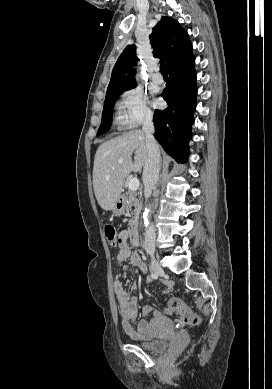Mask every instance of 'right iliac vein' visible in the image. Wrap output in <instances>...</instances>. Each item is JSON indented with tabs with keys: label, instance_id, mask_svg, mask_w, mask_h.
Returning a JSON list of instances; mask_svg holds the SVG:
<instances>
[{
	"label": "right iliac vein",
	"instance_id": "1",
	"mask_svg": "<svg viewBox=\"0 0 272 389\" xmlns=\"http://www.w3.org/2000/svg\"><path fill=\"white\" fill-rule=\"evenodd\" d=\"M150 270L157 275H160V276L164 275V269L161 267V265L155 259L153 254H151Z\"/></svg>",
	"mask_w": 272,
	"mask_h": 389
}]
</instances>
